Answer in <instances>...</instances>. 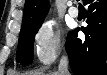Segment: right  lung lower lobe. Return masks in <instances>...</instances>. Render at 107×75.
I'll list each match as a JSON object with an SVG mask.
<instances>
[{"label": "right lung lower lobe", "instance_id": "right-lung-lower-lobe-1", "mask_svg": "<svg viewBox=\"0 0 107 75\" xmlns=\"http://www.w3.org/2000/svg\"><path fill=\"white\" fill-rule=\"evenodd\" d=\"M88 5L87 27L81 30L85 40L78 38L79 28L71 31L66 42V51L74 75H106L107 67V1L84 0Z\"/></svg>", "mask_w": 107, "mask_h": 75}]
</instances>
